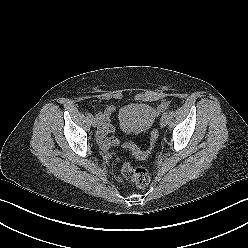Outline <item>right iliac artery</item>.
<instances>
[{"mask_svg": "<svg viewBox=\"0 0 248 248\" xmlns=\"http://www.w3.org/2000/svg\"><path fill=\"white\" fill-rule=\"evenodd\" d=\"M87 117H88V118H92L93 115H92L91 113H88V114H87Z\"/></svg>", "mask_w": 248, "mask_h": 248, "instance_id": "1", "label": "right iliac artery"}]
</instances>
